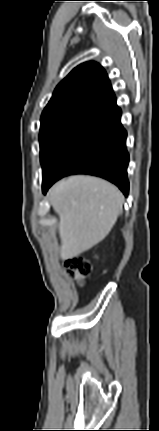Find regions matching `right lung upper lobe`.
<instances>
[{
	"mask_svg": "<svg viewBox=\"0 0 159 431\" xmlns=\"http://www.w3.org/2000/svg\"><path fill=\"white\" fill-rule=\"evenodd\" d=\"M116 107L105 70L90 61L74 68L57 85L41 119L65 116L89 121Z\"/></svg>",
	"mask_w": 159,
	"mask_h": 431,
	"instance_id": "right-lung-upper-lobe-1",
	"label": "right lung upper lobe"
}]
</instances>
